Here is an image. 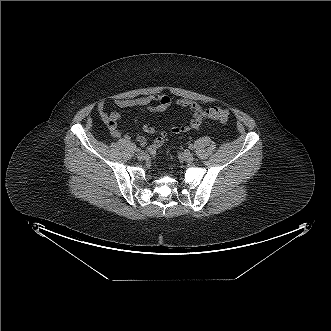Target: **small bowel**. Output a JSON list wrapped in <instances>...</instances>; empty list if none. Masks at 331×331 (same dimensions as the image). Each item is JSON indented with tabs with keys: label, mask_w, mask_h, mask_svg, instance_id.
I'll list each match as a JSON object with an SVG mask.
<instances>
[{
	"label": "small bowel",
	"mask_w": 331,
	"mask_h": 331,
	"mask_svg": "<svg viewBox=\"0 0 331 331\" xmlns=\"http://www.w3.org/2000/svg\"><path fill=\"white\" fill-rule=\"evenodd\" d=\"M114 104L120 109L142 107L150 112H164L173 104H176L177 106L188 109L192 112L193 116L188 123L172 126L169 130H157L149 123H144L142 126L143 131L149 135H156V138L149 142L144 137L139 136L137 137V140L141 144L145 145L151 152L161 147L168 136V133L176 135L186 133L191 130H199L201 128L202 120L205 117V111L197 101L188 99H178L174 101L169 96L160 94L140 96L136 98L116 99L114 100ZM97 111L101 120L108 126L111 136L114 138L121 137V132L118 129V123L121 120V115L118 112L109 113L104 102H100L98 104ZM124 139L129 140L130 136L125 135Z\"/></svg>",
	"instance_id": "obj_1"
}]
</instances>
